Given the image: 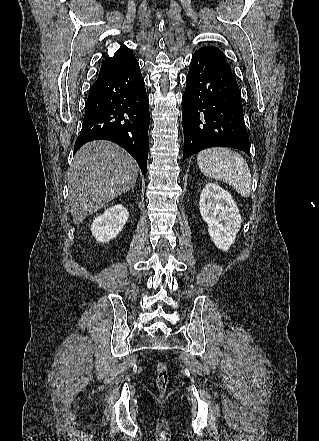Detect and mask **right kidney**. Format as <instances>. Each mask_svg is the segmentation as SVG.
Here are the masks:
<instances>
[{"label": "right kidney", "mask_w": 319, "mask_h": 441, "mask_svg": "<svg viewBox=\"0 0 319 441\" xmlns=\"http://www.w3.org/2000/svg\"><path fill=\"white\" fill-rule=\"evenodd\" d=\"M128 217L127 209L122 204H116L94 219L91 232L98 242H109L122 231Z\"/></svg>", "instance_id": "1"}]
</instances>
